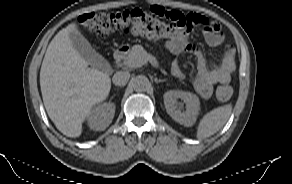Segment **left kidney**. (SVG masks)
<instances>
[{
	"label": "left kidney",
	"mask_w": 292,
	"mask_h": 184,
	"mask_svg": "<svg viewBox=\"0 0 292 184\" xmlns=\"http://www.w3.org/2000/svg\"><path fill=\"white\" fill-rule=\"evenodd\" d=\"M163 98L166 111L172 119L186 127H190L195 123L200 110V102L195 94L186 91L170 90L163 95ZM178 99L184 101L186 111L181 112L177 109Z\"/></svg>",
	"instance_id": "1"
}]
</instances>
